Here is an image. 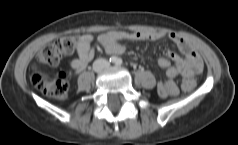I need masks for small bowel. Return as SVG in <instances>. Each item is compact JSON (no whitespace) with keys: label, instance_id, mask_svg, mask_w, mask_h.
Listing matches in <instances>:
<instances>
[{"label":"small bowel","instance_id":"obj_1","mask_svg":"<svg viewBox=\"0 0 238 145\" xmlns=\"http://www.w3.org/2000/svg\"><path fill=\"white\" fill-rule=\"evenodd\" d=\"M162 38L172 40L184 54V57H181L172 50H166V57H160L158 59L159 67L166 70V79L157 84L158 93L163 98L173 97L179 93V89L175 83V79L178 76L183 77V83L187 82L189 84L183 90L189 91L195 86V74L201 72L203 69V62L191 42L175 33L144 30H112L100 34L96 41L93 35L82 33L76 36L78 57L70 61V66L76 72L84 70L94 57L98 48H102L110 54H122L125 50V46L122 44L123 40L140 41L159 40ZM169 59L174 62V65L170 64Z\"/></svg>","mask_w":238,"mask_h":145}]
</instances>
